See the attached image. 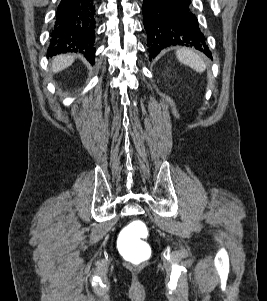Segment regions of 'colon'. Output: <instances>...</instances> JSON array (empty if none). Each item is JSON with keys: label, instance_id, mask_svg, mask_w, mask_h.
<instances>
[{"label": "colon", "instance_id": "5ec220e1", "mask_svg": "<svg viewBox=\"0 0 267 301\" xmlns=\"http://www.w3.org/2000/svg\"><path fill=\"white\" fill-rule=\"evenodd\" d=\"M148 236L146 224L139 219L131 221L121 232L118 247L123 258L140 265L151 256V249L145 239Z\"/></svg>", "mask_w": 267, "mask_h": 301}]
</instances>
